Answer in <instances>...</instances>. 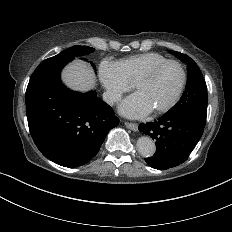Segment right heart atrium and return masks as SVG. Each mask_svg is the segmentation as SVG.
<instances>
[{
  "instance_id": "1",
  "label": "right heart atrium",
  "mask_w": 232,
  "mask_h": 232,
  "mask_svg": "<svg viewBox=\"0 0 232 232\" xmlns=\"http://www.w3.org/2000/svg\"><path fill=\"white\" fill-rule=\"evenodd\" d=\"M97 76L109 101L116 100L128 90L129 86L120 73L118 62L103 58L98 64Z\"/></svg>"
}]
</instances>
